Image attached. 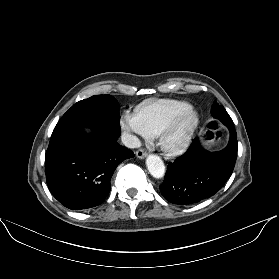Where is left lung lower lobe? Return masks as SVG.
I'll use <instances>...</instances> for the list:
<instances>
[{"label": "left lung lower lobe", "instance_id": "obj_1", "mask_svg": "<svg viewBox=\"0 0 279 279\" xmlns=\"http://www.w3.org/2000/svg\"><path fill=\"white\" fill-rule=\"evenodd\" d=\"M228 145L221 151L204 150L195 138L188 150L169 163L160 190L171 203L188 205L213 196L231 176L237 158V135L232 122Z\"/></svg>", "mask_w": 279, "mask_h": 279}]
</instances>
